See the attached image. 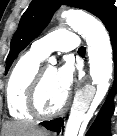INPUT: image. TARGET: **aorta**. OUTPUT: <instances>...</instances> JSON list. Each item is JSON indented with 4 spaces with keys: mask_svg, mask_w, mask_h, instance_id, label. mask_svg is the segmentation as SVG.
<instances>
[{
    "mask_svg": "<svg viewBox=\"0 0 117 136\" xmlns=\"http://www.w3.org/2000/svg\"><path fill=\"white\" fill-rule=\"evenodd\" d=\"M61 17L71 24L88 45L92 86L76 93L64 132V136H78L81 123L91 117V108L97 107L109 89L113 72L112 46L104 25L94 17L74 10L62 12ZM49 61L56 64L54 57ZM93 85H96V90Z\"/></svg>",
    "mask_w": 117,
    "mask_h": 136,
    "instance_id": "1",
    "label": "aorta"
}]
</instances>
